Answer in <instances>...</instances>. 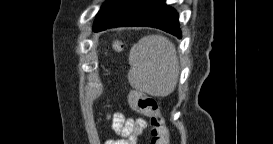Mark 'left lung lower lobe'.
<instances>
[{
	"mask_svg": "<svg viewBox=\"0 0 273 144\" xmlns=\"http://www.w3.org/2000/svg\"><path fill=\"white\" fill-rule=\"evenodd\" d=\"M96 18V32L119 26H149L181 38L178 13L165 0H107Z\"/></svg>",
	"mask_w": 273,
	"mask_h": 144,
	"instance_id": "1",
	"label": "left lung lower lobe"
}]
</instances>
